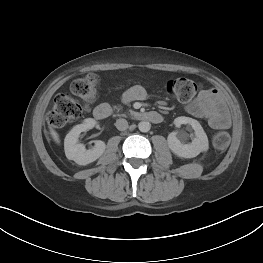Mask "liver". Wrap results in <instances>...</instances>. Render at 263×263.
Returning <instances> with one entry per match:
<instances>
[{
    "label": "liver",
    "mask_w": 263,
    "mask_h": 263,
    "mask_svg": "<svg viewBox=\"0 0 263 263\" xmlns=\"http://www.w3.org/2000/svg\"><path fill=\"white\" fill-rule=\"evenodd\" d=\"M50 134H51L53 140H54L57 144H59V143H60V139H59L58 133H57L55 130L50 129Z\"/></svg>",
    "instance_id": "6515ba94"
}]
</instances>
